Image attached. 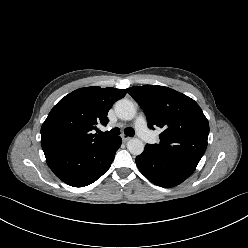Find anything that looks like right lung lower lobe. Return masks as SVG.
Here are the masks:
<instances>
[{
	"label": "right lung lower lobe",
	"mask_w": 248,
	"mask_h": 248,
	"mask_svg": "<svg viewBox=\"0 0 248 248\" xmlns=\"http://www.w3.org/2000/svg\"><path fill=\"white\" fill-rule=\"evenodd\" d=\"M121 142L117 136L85 150L49 151L44 154L48 166L60 180L70 186L84 187L108 171Z\"/></svg>",
	"instance_id": "obj_1"
}]
</instances>
